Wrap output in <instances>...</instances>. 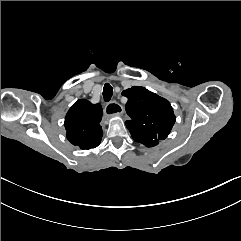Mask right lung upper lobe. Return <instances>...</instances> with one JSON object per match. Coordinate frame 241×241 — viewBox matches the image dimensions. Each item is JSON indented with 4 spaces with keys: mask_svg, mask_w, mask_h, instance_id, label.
<instances>
[{
    "mask_svg": "<svg viewBox=\"0 0 241 241\" xmlns=\"http://www.w3.org/2000/svg\"><path fill=\"white\" fill-rule=\"evenodd\" d=\"M103 110L100 104L81 99L71 106L65 117L67 139L81 149L97 147L102 139L100 126Z\"/></svg>",
    "mask_w": 241,
    "mask_h": 241,
    "instance_id": "cb5924a9",
    "label": "right lung upper lobe"
}]
</instances>
